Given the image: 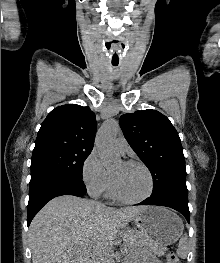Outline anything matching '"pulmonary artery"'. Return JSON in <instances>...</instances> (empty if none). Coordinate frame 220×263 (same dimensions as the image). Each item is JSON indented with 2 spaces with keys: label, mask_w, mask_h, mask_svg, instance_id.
<instances>
[{
  "label": "pulmonary artery",
  "mask_w": 220,
  "mask_h": 263,
  "mask_svg": "<svg viewBox=\"0 0 220 263\" xmlns=\"http://www.w3.org/2000/svg\"><path fill=\"white\" fill-rule=\"evenodd\" d=\"M128 143L124 137H118L114 141V149L119 154H124L128 150Z\"/></svg>",
  "instance_id": "1"
}]
</instances>
